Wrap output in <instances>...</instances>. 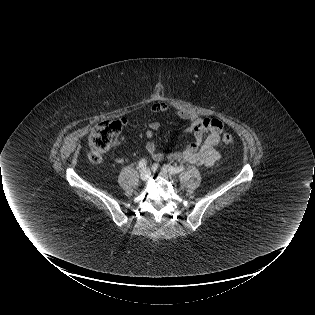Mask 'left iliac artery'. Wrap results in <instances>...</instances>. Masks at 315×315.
<instances>
[{
    "label": "left iliac artery",
    "instance_id": "obj_1",
    "mask_svg": "<svg viewBox=\"0 0 315 315\" xmlns=\"http://www.w3.org/2000/svg\"><path fill=\"white\" fill-rule=\"evenodd\" d=\"M154 166H155V168L159 167V165H157V164H155ZM161 169L166 170L170 174L174 175V174H178V173L184 171L185 168L183 166L174 167V166H171V165H164Z\"/></svg>",
    "mask_w": 315,
    "mask_h": 315
}]
</instances>
